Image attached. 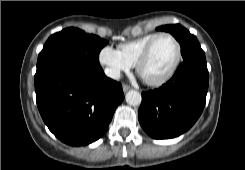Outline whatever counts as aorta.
Returning <instances> with one entry per match:
<instances>
[{
  "mask_svg": "<svg viewBox=\"0 0 245 170\" xmlns=\"http://www.w3.org/2000/svg\"><path fill=\"white\" fill-rule=\"evenodd\" d=\"M125 99L126 102L131 106H137L142 101L141 94L135 90H130L127 92Z\"/></svg>",
  "mask_w": 245,
  "mask_h": 170,
  "instance_id": "762f6f07",
  "label": "aorta"
}]
</instances>
